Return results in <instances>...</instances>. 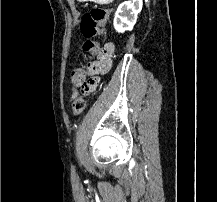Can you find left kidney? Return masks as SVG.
<instances>
[{"label":"left kidney","instance_id":"5707ae66","mask_svg":"<svg viewBox=\"0 0 217 202\" xmlns=\"http://www.w3.org/2000/svg\"><path fill=\"white\" fill-rule=\"evenodd\" d=\"M142 0H129V2H123L117 8L115 12L113 26L117 32L123 34V32H131L133 30L137 16L142 10Z\"/></svg>","mask_w":217,"mask_h":202}]
</instances>
